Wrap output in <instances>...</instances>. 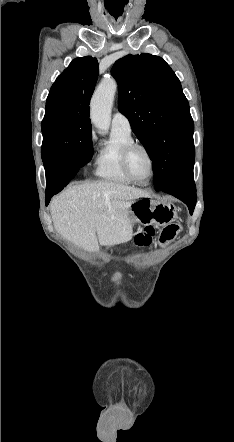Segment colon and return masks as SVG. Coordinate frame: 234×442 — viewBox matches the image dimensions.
Segmentation results:
<instances>
[{
    "mask_svg": "<svg viewBox=\"0 0 234 442\" xmlns=\"http://www.w3.org/2000/svg\"><path fill=\"white\" fill-rule=\"evenodd\" d=\"M180 231V226L178 224H169L165 226L159 236V241L161 244H165L171 241ZM155 234V229L152 226L146 227L143 231L139 232L135 236V243L138 246H149L152 242L153 236Z\"/></svg>",
    "mask_w": 234,
    "mask_h": 442,
    "instance_id": "obj_1",
    "label": "colon"
}]
</instances>
